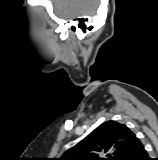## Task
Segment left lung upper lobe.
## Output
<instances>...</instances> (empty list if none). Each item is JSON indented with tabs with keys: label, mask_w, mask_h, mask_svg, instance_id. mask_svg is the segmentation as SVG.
Masks as SVG:
<instances>
[{
	"label": "left lung upper lobe",
	"mask_w": 158,
	"mask_h": 160,
	"mask_svg": "<svg viewBox=\"0 0 158 160\" xmlns=\"http://www.w3.org/2000/svg\"><path fill=\"white\" fill-rule=\"evenodd\" d=\"M136 135L116 121H107L93 130L59 160H126Z\"/></svg>",
	"instance_id": "obj_1"
}]
</instances>
